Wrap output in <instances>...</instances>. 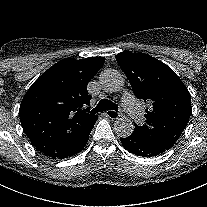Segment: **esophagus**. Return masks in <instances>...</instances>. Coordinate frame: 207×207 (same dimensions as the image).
Instances as JSON below:
<instances>
[{
    "label": "esophagus",
    "mask_w": 207,
    "mask_h": 207,
    "mask_svg": "<svg viewBox=\"0 0 207 207\" xmlns=\"http://www.w3.org/2000/svg\"><path fill=\"white\" fill-rule=\"evenodd\" d=\"M106 115L111 120L119 119L120 116H121V114L118 111H115V110H108V111H106Z\"/></svg>",
    "instance_id": "obj_1"
}]
</instances>
